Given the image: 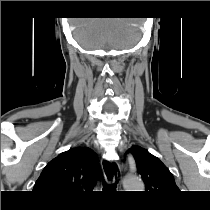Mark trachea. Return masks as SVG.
Masks as SVG:
<instances>
[{
  "label": "trachea",
  "mask_w": 210,
  "mask_h": 210,
  "mask_svg": "<svg viewBox=\"0 0 210 210\" xmlns=\"http://www.w3.org/2000/svg\"><path fill=\"white\" fill-rule=\"evenodd\" d=\"M105 186H106V183H105ZM113 186H115V187H116V186H117V182H115V184H114Z\"/></svg>",
  "instance_id": "trachea-1"
}]
</instances>
